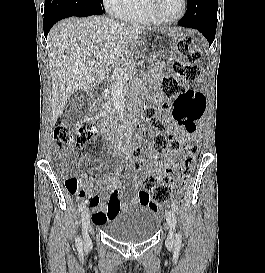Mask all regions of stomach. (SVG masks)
<instances>
[{"instance_id":"0dacf381","label":"stomach","mask_w":265,"mask_h":273,"mask_svg":"<svg viewBox=\"0 0 265 273\" xmlns=\"http://www.w3.org/2000/svg\"><path fill=\"white\" fill-rule=\"evenodd\" d=\"M183 30H153L144 29L133 41L128 44V49L141 51L137 55L140 64L135 65L133 78H154V73H161V69H167L171 64L168 56H174V51H164L162 49H171L173 40H180Z\"/></svg>"}]
</instances>
